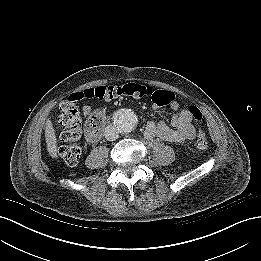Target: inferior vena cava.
I'll return each mask as SVG.
<instances>
[{
    "instance_id": "inferior-vena-cava-1",
    "label": "inferior vena cava",
    "mask_w": 261,
    "mask_h": 261,
    "mask_svg": "<svg viewBox=\"0 0 261 261\" xmlns=\"http://www.w3.org/2000/svg\"><path fill=\"white\" fill-rule=\"evenodd\" d=\"M104 135L108 141H114L119 137L117 129L112 125L105 128Z\"/></svg>"
}]
</instances>
